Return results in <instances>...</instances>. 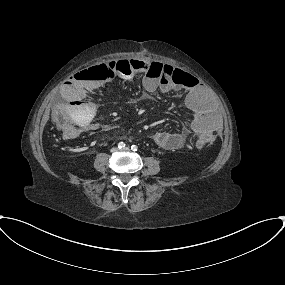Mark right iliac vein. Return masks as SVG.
Masks as SVG:
<instances>
[{
  "label": "right iliac vein",
  "mask_w": 285,
  "mask_h": 285,
  "mask_svg": "<svg viewBox=\"0 0 285 285\" xmlns=\"http://www.w3.org/2000/svg\"><path fill=\"white\" fill-rule=\"evenodd\" d=\"M117 151V148L116 147H113L112 149H111V152L112 153H114V152H116Z\"/></svg>",
  "instance_id": "1"
}]
</instances>
